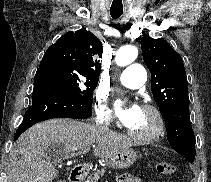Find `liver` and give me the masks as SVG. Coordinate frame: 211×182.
<instances>
[{"label": "liver", "mask_w": 211, "mask_h": 182, "mask_svg": "<svg viewBox=\"0 0 211 182\" xmlns=\"http://www.w3.org/2000/svg\"><path fill=\"white\" fill-rule=\"evenodd\" d=\"M97 144L94 155L110 159L136 142L109 129L71 119H52L25 131L14 144L10 159L9 182H51L58 175L59 160L47 157L53 144L63 147L64 157Z\"/></svg>", "instance_id": "1"}]
</instances>
